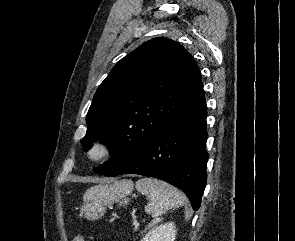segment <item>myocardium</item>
<instances>
[{
  "label": "myocardium",
  "instance_id": "myocardium-1",
  "mask_svg": "<svg viewBox=\"0 0 295 241\" xmlns=\"http://www.w3.org/2000/svg\"><path fill=\"white\" fill-rule=\"evenodd\" d=\"M114 151V146L110 141L97 139L87 147L85 156L91 163H100L110 158Z\"/></svg>",
  "mask_w": 295,
  "mask_h": 241
}]
</instances>
